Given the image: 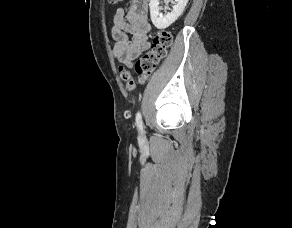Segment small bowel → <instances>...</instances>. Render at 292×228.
<instances>
[{
    "instance_id": "c3829d8e",
    "label": "small bowel",
    "mask_w": 292,
    "mask_h": 228,
    "mask_svg": "<svg viewBox=\"0 0 292 228\" xmlns=\"http://www.w3.org/2000/svg\"><path fill=\"white\" fill-rule=\"evenodd\" d=\"M148 4L149 0H130L127 8H118L115 12L111 31L115 41L113 53L127 67H132L150 47Z\"/></svg>"
}]
</instances>
